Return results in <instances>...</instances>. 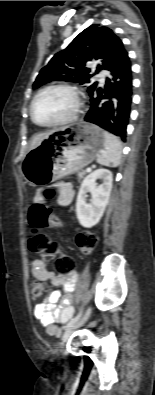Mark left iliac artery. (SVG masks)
<instances>
[{
  "mask_svg": "<svg viewBox=\"0 0 155 395\" xmlns=\"http://www.w3.org/2000/svg\"><path fill=\"white\" fill-rule=\"evenodd\" d=\"M82 315V310L77 314V316H75L74 318H72L65 326L64 329H67L68 327L72 326L73 324H75L79 318Z\"/></svg>",
  "mask_w": 155,
  "mask_h": 395,
  "instance_id": "1",
  "label": "left iliac artery"
}]
</instances>
